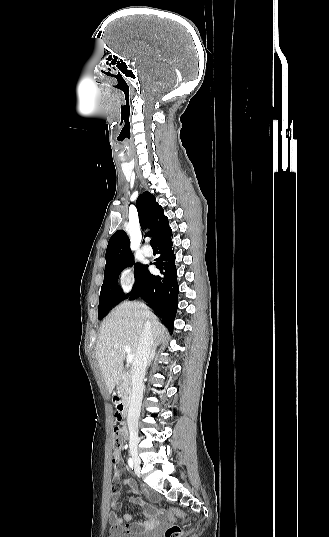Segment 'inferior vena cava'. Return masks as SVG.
Wrapping results in <instances>:
<instances>
[{
  "instance_id": "inferior-vena-cava-1",
  "label": "inferior vena cava",
  "mask_w": 329,
  "mask_h": 537,
  "mask_svg": "<svg viewBox=\"0 0 329 537\" xmlns=\"http://www.w3.org/2000/svg\"><path fill=\"white\" fill-rule=\"evenodd\" d=\"M152 344L153 335L151 324L150 321L147 320L140 335L137 352L131 368L132 394L128 410L127 424L129 431L134 434L138 433V420L144 390L143 378L148 365Z\"/></svg>"
}]
</instances>
